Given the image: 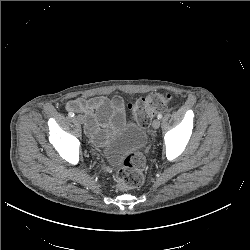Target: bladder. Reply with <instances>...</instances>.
<instances>
[{
	"label": "bladder",
	"mask_w": 250,
	"mask_h": 250,
	"mask_svg": "<svg viewBox=\"0 0 250 250\" xmlns=\"http://www.w3.org/2000/svg\"><path fill=\"white\" fill-rule=\"evenodd\" d=\"M147 136L142 126L119 116L118 131L104 148V157L111 164H117L131 153L141 150L146 146Z\"/></svg>",
	"instance_id": "obj_1"
}]
</instances>
